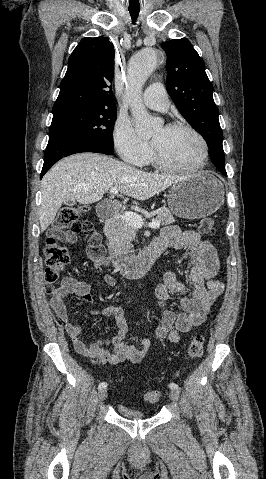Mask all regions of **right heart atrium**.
Masks as SVG:
<instances>
[{"instance_id": "d8ad5b80", "label": "right heart atrium", "mask_w": 266, "mask_h": 479, "mask_svg": "<svg viewBox=\"0 0 266 479\" xmlns=\"http://www.w3.org/2000/svg\"><path fill=\"white\" fill-rule=\"evenodd\" d=\"M113 143L121 159L128 164L144 166L152 157L149 144L140 139L131 124L124 119L115 122Z\"/></svg>"}]
</instances>
